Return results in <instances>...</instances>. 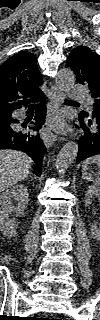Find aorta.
<instances>
[{
	"label": "aorta",
	"instance_id": "aorta-1",
	"mask_svg": "<svg viewBox=\"0 0 100 320\" xmlns=\"http://www.w3.org/2000/svg\"><path fill=\"white\" fill-rule=\"evenodd\" d=\"M56 83L63 91H69L75 83V75L71 69H60L56 75ZM79 146L76 142H69L63 146L56 158V169L64 175L77 156Z\"/></svg>",
	"mask_w": 100,
	"mask_h": 320
}]
</instances>
